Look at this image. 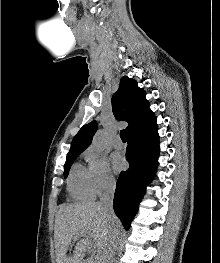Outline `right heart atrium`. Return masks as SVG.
Here are the masks:
<instances>
[{
    "instance_id": "d8ad5b80",
    "label": "right heart atrium",
    "mask_w": 220,
    "mask_h": 263,
    "mask_svg": "<svg viewBox=\"0 0 220 263\" xmlns=\"http://www.w3.org/2000/svg\"><path fill=\"white\" fill-rule=\"evenodd\" d=\"M95 194L101 195L115 186V177L106 158L88 149L84 153Z\"/></svg>"
}]
</instances>
